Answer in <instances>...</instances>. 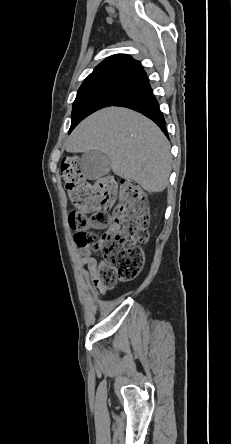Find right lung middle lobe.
<instances>
[{
	"mask_svg": "<svg viewBox=\"0 0 231 444\" xmlns=\"http://www.w3.org/2000/svg\"><path fill=\"white\" fill-rule=\"evenodd\" d=\"M126 93L128 92L124 88L109 84L79 89L73 103L69 133L82 119L101 108L111 106Z\"/></svg>",
	"mask_w": 231,
	"mask_h": 444,
	"instance_id": "obj_1",
	"label": "right lung middle lobe"
}]
</instances>
